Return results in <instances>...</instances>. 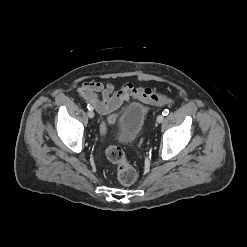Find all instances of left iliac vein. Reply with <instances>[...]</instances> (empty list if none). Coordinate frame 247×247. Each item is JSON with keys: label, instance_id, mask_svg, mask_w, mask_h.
Instances as JSON below:
<instances>
[{"label": "left iliac vein", "instance_id": "4c4485c4", "mask_svg": "<svg viewBox=\"0 0 247 247\" xmlns=\"http://www.w3.org/2000/svg\"><path fill=\"white\" fill-rule=\"evenodd\" d=\"M163 120H164V117H163L162 115H158V116H157V122H158V123L163 122Z\"/></svg>", "mask_w": 247, "mask_h": 247}]
</instances>
